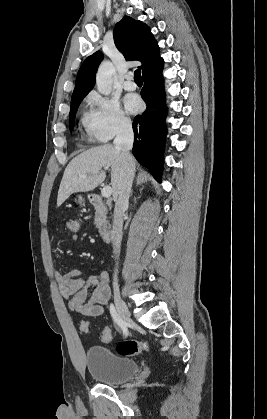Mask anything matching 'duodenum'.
Segmentation results:
<instances>
[{
  "mask_svg": "<svg viewBox=\"0 0 267 419\" xmlns=\"http://www.w3.org/2000/svg\"><path fill=\"white\" fill-rule=\"evenodd\" d=\"M91 205L101 211H105L107 206L104 200L98 195H91L89 198ZM103 241L108 242L112 236V224L108 221L104 222L99 230Z\"/></svg>",
  "mask_w": 267,
  "mask_h": 419,
  "instance_id": "1",
  "label": "duodenum"
}]
</instances>
